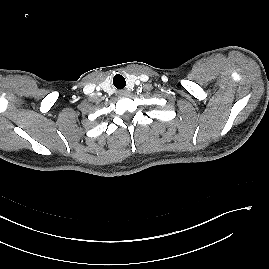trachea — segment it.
<instances>
[{"label":"trachea","instance_id":"trachea-1","mask_svg":"<svg viewBox=\"0 0 269 269\" xmlns=\"http://www.w3.org/2000/svg\"><path fill=\"white\" fill-rule=\"evenodd\" d=\"M114 82V79H113ZM115 83H116V88L118 89H123L126 85L124 77L117 75L115 76Z\"/></svg>","mask_w":269,"mask_h":269}]
</instances>
